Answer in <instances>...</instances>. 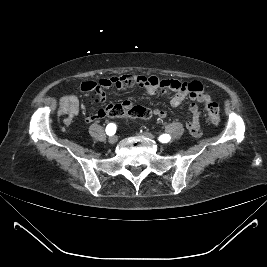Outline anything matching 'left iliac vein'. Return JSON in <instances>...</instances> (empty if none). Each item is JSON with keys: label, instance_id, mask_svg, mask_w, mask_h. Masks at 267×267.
Masks as SVG:
<instances>
[{"label": "left iliac vein", "instance_id": "obj_1", "mask_svg": "<svg viewBox=\"0 0 267 267\" xmlns=\"http://www.w3.org/2000/svg\"><path fill=\"white\" fill-rule=\"evenodd\" d=\"M139 135H141L142 137L148 138L150 140H155L154 135L149 132H143V133H140Z\"/></svg>", "mask_w": 267, "mask_h": 267}]
</instances>
